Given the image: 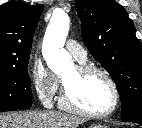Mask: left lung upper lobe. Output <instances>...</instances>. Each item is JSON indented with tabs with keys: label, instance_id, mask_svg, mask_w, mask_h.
Wrapping results in <instances>:
<instances>
[{
	"label": "left lung upper lobe",
	"instance_id": "5c2ea615",
	"mask_svg": "<svg viewBox=\"0 0 142 128\" xmlns=\"http://www.w3.org/2000/svg\"><path fill=\"white\" fill-rule=\"evenodd\" d=\"M82 38L112 76L122 101V121L142 122V55L126 10L114 0H79Z\"/></svg>",
	"mask_w": 142,
	"mask_h": 128
}]
</instances>
